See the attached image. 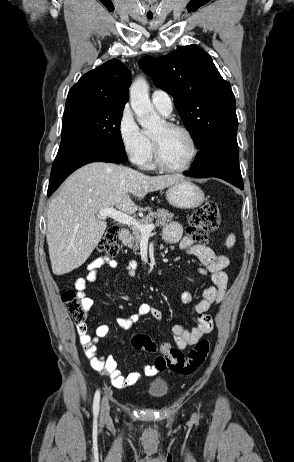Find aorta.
Instances as JSON below:
<instances>
[{"instance_id":"obj_1","label":"aorta","mask_w":294,"mask_h":462,"mask_svg":"<svg viewBox=\"0 0 294 462\" xmlns=\"http://www.w3.org/2000/svg\"><path fill=\"white\" fill-rule=\"evenodd\" d=\"M130 104L142 128L154 131L161 126V118L149 98L148 83L142 77L137 78L130 87Z\"/></svg>"}]
</instances>
